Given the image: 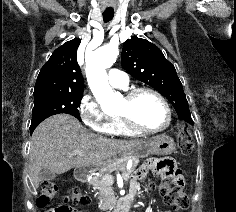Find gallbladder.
I'll use <instances>...</instances> for the list:
<instances>
[{"label":"gallbladder","instance_id":"obj_1","mask_svg":"<svg viewBox=\"0 0 236 212\" xmlns=\"http://www.w3.org/2000/svg\"><path fill=\"white\" fill-rule=\"evenodd\" d=\"M55 177L56 174L46 168H42L39 174L40 181H50Z\"/></svg>","mask_w":236,"mask_h":212}]
</instances>
